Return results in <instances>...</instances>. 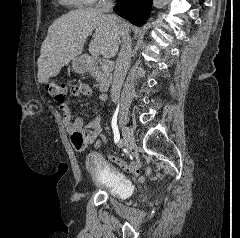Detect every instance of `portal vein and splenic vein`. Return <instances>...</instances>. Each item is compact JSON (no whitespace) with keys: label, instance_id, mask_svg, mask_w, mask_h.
I'll list each match as a JSON object with an SVG mask.
<instances>
[{"label":"portal vein and splenic vein","instance_id":"portal-vein-and-splenic-vein-1","mask_svg":"<svg viewBox=\"0 0 240 238\" xmlns=\"http://www.w3.org/2000/svg\"><path fill=\"white\" fill-rule=\"evenodd\" d=\"M89 52H90L92 55H97V52H96L95 50H90ZM111 66H112V64H111L110 61H104V62L102 63V69H103L104 71L109 70V69L111 68Z\"/></svg>","mask_w":240,"mask_h":238}]
</instances>
